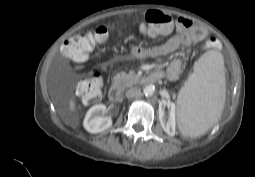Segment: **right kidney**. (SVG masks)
<instances>
[{"mask_svg": "<svg viewBox=\"0 0 255 177\" xmlns=\"http://www.w3.org/2000/svg\"><path fill=\"white\" fill-rule=\"evenodd\" d=\"M106 111L104 104H97L92 106L86 113L83 126L86 131L90 133H100L112 126V119L110 117H103Z\"/></svg>", "mask_w": 255, "mask_h": 177, "instance_id": "ca27d5eb", "label": "right kidney"}]
</instances>
